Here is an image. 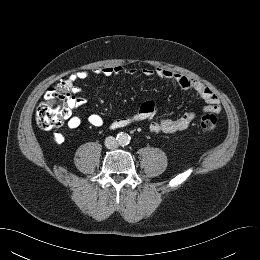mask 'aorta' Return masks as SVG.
Listing matches in <instances>:
<instances>
[{"label":"aorta","mask_w":260,"mask_h":260,"mask_svg":"<svg viewBox=\"0 0 260 260\" xmlns=\"http://www.w3.org/2000/svg\"><path fill=\"white\" fill-rule=\"evenodd\" d=\"M118 143L122 146L129 144L130 136L127 133H119L117 136Z\"/></svg>","instance_id":"762f6f07"}]
</instances>
